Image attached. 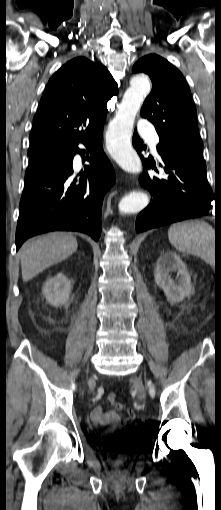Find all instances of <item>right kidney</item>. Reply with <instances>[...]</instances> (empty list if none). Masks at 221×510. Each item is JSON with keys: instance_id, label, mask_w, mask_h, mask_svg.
Listing matches in <instances>:
<instances>
[{"instance_id": "right-kidney-1", "label": "right kidney", "mask_w": 221, "mask_h": 510, "mask_svg": "<svg viewBox=\"0 0 221 510\" xmlns=\"http://www.w3.org/2000/svg\"><path fill=\"white\" fill-rule=\"evenodd\" d=\"M70 293V281L63 273H58L47 279L42 289L43 296L53 306L64 305L68 301Z\"/></svg>"}]
</instances>
